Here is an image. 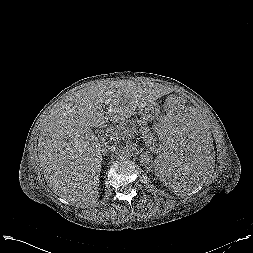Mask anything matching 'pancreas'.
Instances as JSON below:
<instances>
[{
    "label": "pancreas",
    "mask_w": 253,
    "mask_h": 253,
    "mask_svg": "<svg viewBox=\"0 0 253 253\" xmlns=\"http://www.w3.org/2000/svg\"><path fill=\"white\" fill-rule=\"evenodd\" d=\"M139 127V130H136ZM139 132L146 143V145H153V135L150 133V129L147 126V123L142 120H129L124 123H121L116 128L112 129L108 136L114 140H122L128 138L133 132Z\"/></svg>",
    "instance_id": "pancreas-1"
}]
</instances>
